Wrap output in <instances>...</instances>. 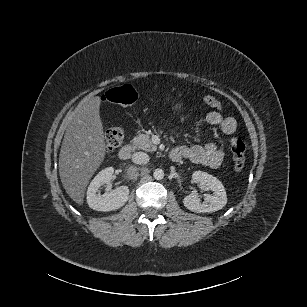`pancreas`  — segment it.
I'll return each mask as SVG.
<instances>
[{"instance_id": "obj_1", "label": "pancreas", "mask_w": 307, "mask_h": 307, "mask_svg": "<svg viewBox=\"0 0 307 307\" xmlns=\"http://www.w3.org/2000/svg\"><path fill=\"white\" fill-rule=\"evenodd\" d=\"M133 144L137 146L138 148L151 152V151H156L157 146L154 145L147 134H139L134 139L132 140Z\"/></svg>"}]
</instances>
